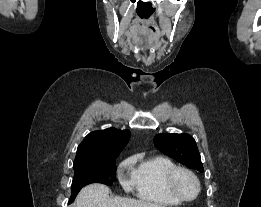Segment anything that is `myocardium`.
<instances>
[{
    "mask_svg": "<svg viewBox=\"0 0 261 207\" xmlns=\"http://www.w3.org/2000/svg\"><path fill=\"white\" fill-rule=\"evenodd\" d=\"M182 173L190 176L196 184V188H197L196 193L192 197L184 196L178 189L177 179H178V176ZM166 185H167L169 192L175 198L180 200L181 202H190V201L195 200L201 191V184H200V181H199L198 177L196 176V174L193 171H191L190 169H188L186 167H181V166H176L168 173L167 178H166Z\"/></svg>",
    "mask_w": 261,
    "mask_h": 207,
    "instance_id": "obj_1",
    "label": "myocardium"
}]
</instances>
